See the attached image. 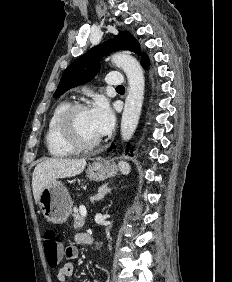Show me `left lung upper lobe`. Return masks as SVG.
I'll use <instances>...</instances> for the list:
<instances>
[{"instance_id": "5c2ea615", "label": "left lung upper lobe", "mask_w": 232, "mask_h": 282, "mask_svg": "<svg viewBox=\"0 0 232 282\" xmlns=\"http://www.w3.org/2000/svg\"><path fill=\"white\" fill-rule=\"evenodd\" d=\"M128 50L141 55L140 45L127 31H120L119 35L104 45L91 48L86 54L74 61L63 73L54 97H58L67 90L85 84L99 72V60L104 55L116 51Z\"/></svg>"}]
</instances>
